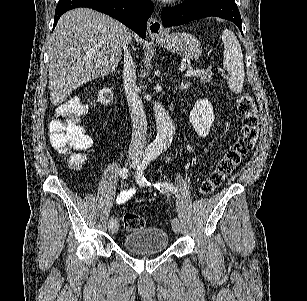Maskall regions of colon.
Segmentation results:
<instances>
[{"instance_id":"colon-1","label":"colon","mask_w":307,"mask_h":301,"mask_svg":"<svg viewBox=\"0 0 307 301\" xmlns=\"http://www.w3.org/2000/svg\"><path fill=\"white\" fill-rule=\"evenodd\" d=\"M87 109L88 105L79 98L67 100L57 108L50 124L51 144L55 150L80 152L91 147L92 139L81 124ZM237 110L242 121L241 131L209 176L202 182L200 187L202 195H210L221 186L253 148L258 138L259 121L253 98L248 94L241 95L237 100ZM85 161L86 158L81 153L73 154L70 159L75 168L81 167ZM123 225L127 231H137L143 228L144 219L140 215L126 213L123 216Z\"/></svg>"}]
</instances>
